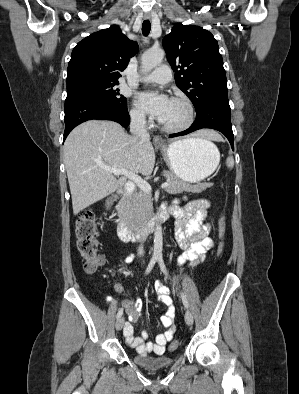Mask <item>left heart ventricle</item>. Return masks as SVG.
I'll return each instance as SVG.
<instances>
[{
  "instance_id": "1",
  "label": "left heart ventricle",
  "mask_w": 299,
  "mask_h": 394,
  "mask_svg": "<svg viewBox=\"0 0 299 394\" xmlns=\"http://www.w3.org/2000/svg\"><path fill=\"white\" fill-rule=\"evenodd\" d=\"M188 118L186 107L177 101L171 100L169 109L161 122L168 126H178L183 124Z\"/></svg>"
}]
</instances>
